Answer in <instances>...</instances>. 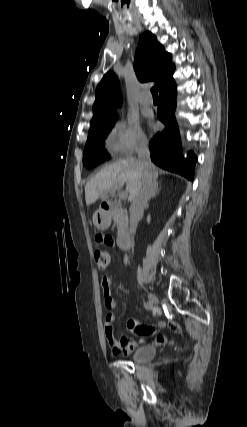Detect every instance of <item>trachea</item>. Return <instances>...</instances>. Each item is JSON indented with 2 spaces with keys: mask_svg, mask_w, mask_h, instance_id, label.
<instances>
[{
  "mask_svg": "<svg viewBox=\"0 0 247 427\" xmlns=\"http://www.w3.org/2000/svg\"><path fill=\"white\" fill-rule=\"evenodd\" d=\"M151 93H152L153 98H158V92H157V89L155 87L151 89Z\"/></svg>",
  "mask_w": 247,
  "mask_h": 427,
  "instance_id": "trachea-1",
  "label": "trachea"
}]
</instances>
